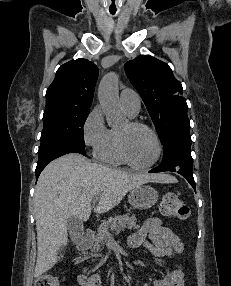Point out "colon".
I'll list each match as a JSON object with an SVG mask.
<instances>
[{
	"mask_svg": "<svg viewBox=\"0 0 231 286\" xmlns=\"http://www.w3.org/2000/svg\"><path fill=\"white\" fill-rule=\"evenodd\" d=\"M161 212L167 217L180 220L187 219L190 214L188 206L177 194L172 192H168L163 196ZM35 286H59V281L54 275L44 274L37 279Z\"/></svg>",
	"mask_w": 231,
	"mask_h": 286,
	"instance_id": "1",
	"label": "colon"
}]
</instances>
